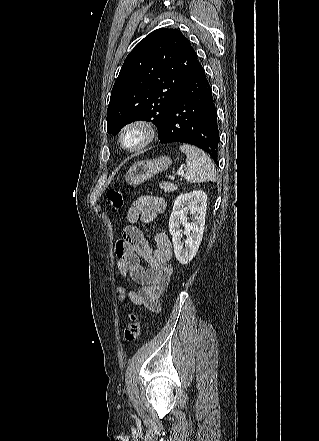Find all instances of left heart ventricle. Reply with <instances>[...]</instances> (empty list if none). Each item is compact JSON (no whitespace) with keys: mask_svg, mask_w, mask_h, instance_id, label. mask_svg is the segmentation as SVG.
I'll list each match as a JSON object with an SVG mask.
<instances>
[{"mask_svg":"<svg viewBox=\"0 0 319 441\" xmlns=\"http://www.w3.org/2000/svg\"><path fill=\"white\" fill-rule=\"evenodd\" d=\"M138 141V135L136 133L130 134L127 137V143L129 145L135 144Z\"/></svg>","mask_w":319,"mask_h":441,"instance_id":"b2bd125f","label":"left heart ventricle"}]
</instances>
